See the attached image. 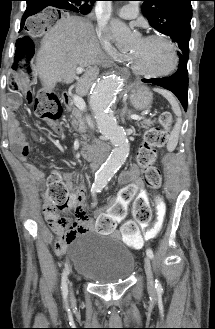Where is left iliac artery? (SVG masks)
I'll return each mask as SVG.
<instances>
[{
    "mask_svg": "<svg viewBox=\"0 0 215 329\" xmlns=\"http://www.w3.org/2000/svg\"><path fill=\"white\" fill-rule=\"evenodd\" d=\"M99 192H100V191H99ZM146 253H147V255H148L149 258L153 259L154 254H153L152 249L148 248V249L146 250ZM155 288H156L157 291H162V290H163L160 281L157 280V279H156V282H155Z\"/></svg>",
    "mask_w": 215,
    "mask_h": 329,
    "instance_id": "obj_1",
    "label": "left iliac artery"
}]
</instances>
